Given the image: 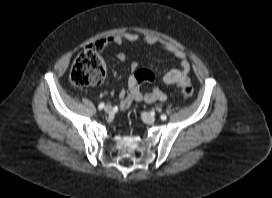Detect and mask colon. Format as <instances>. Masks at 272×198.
<instances>
[{"mask_svg":"<svg viewBox=\"0 0 272 198\" xmlns=\"http://www.w3.org/2000/svg\"><path fill=\"white\" fill-rule=\"evenodd\" d=\"M105 74V63L101 56L93 49L81 51L75 58L71 71V82L79 87L98 84L102 81ZM139 75L153 76L152 71L140 70ZM181 95L188 99L193 95L191 86L181 89Z\"/></svg>","mask_w":272,"mask_h":198,"instance_id":"1","label":"colon"}]
</instances>
